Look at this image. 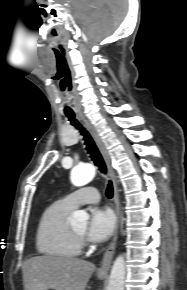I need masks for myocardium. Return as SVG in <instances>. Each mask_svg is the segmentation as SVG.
<instances>
[{"label":"myocardium","instance_id":"myocardium-1","mask_svg":"<svg viewBox=\"0 0 187 290\" xmlns=\"http://www.w3.org/2000/svg\"><path fill=\"white\" fill-rule=\"evenodd\" d=\"M72 235L74 236L75 240L79 244L80 248L84 246V236L76 233L74 230L71 229Z\"/></svg>","mask_w":187,"mask_h":290}]
</instances>
